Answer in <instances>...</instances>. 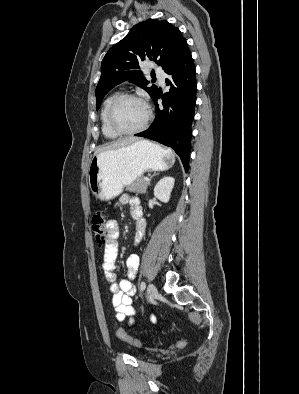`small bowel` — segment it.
Masks as SVG:
<instances>
[{
  "mask_svg": "<svg viewBox=\"0 0 299 394\" xmlns=\"http://www.w3.org/2000/svg\"><path fill=\"white\" fill-rule=\"evenodd\" d=\"M117 205H129L130 214L136 220L135 243L139 244L145 234V219L143 217V210L139 204V199L134 195H122ZM108 239L104 248L103 256V271L106 279L110 282V290L113 294L112 305L116 312V317L119 321L129 319L133 323L132 316L136 310L133 306V296L136 293V288L132 282L135 278L138 266L139 257L137 254L130 255L126 260L127 279H122L119 282L116 280V260L118 256V237L119 226L116 220H108L107 224ZM151 321L156 322V316L151 315Z\"/></svg>",
  "mask_w": 299,
  "mask_h": 394,
  "instance_id": "obj_1",
  "label": "small bowel"
}]
</instances>
